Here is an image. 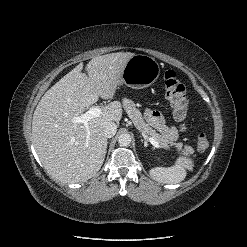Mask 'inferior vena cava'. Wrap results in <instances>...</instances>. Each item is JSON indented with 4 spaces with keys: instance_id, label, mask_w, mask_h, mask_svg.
Wrapping results in <instances>:
<instances>
[{
    "instance_id": "1",
    "label": "inferior vena cava",
    "mask_w": 247,
    "mask_h": 247,
    "mask_svg": "<svg viewBox=\"0 0 247 247\" xmlns=\"http://www.w3.org/2000/svg\"><path fill=\"white\" fill-rule=\"evenodd\" d=\"M117 131V126L113 122H108L103 128V134L106 138H112Z\"/></svg>"
}]
</instances>
